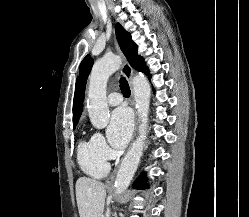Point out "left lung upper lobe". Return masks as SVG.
Wrapping results in <instances>:
<instances>
[{"label": "left lung upper lobe", "instance_id": "left-lung-upper-lobe-1", "mask_svg": "<svg viewBox=\"0 0 249 217\" xmlns=\"http://www.w3.org/2000/svg\"><path fill=\"white\" fill-rule=\"evenodd\" d=\"M116 37L119 46L129 61L130 65L138 71L147 72L146 67L142 57L137 55V45L132 41L131 35L124 30V28L118 23L116 25ZM93 65V59L90 55H87L80 64V75L79 79L81 81L83 92L85 91V85L87 77L91 71Z\"/></svg>", "mask_w": 249, "mask_h": 217}]
</instances>
